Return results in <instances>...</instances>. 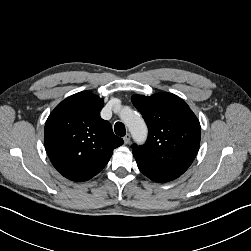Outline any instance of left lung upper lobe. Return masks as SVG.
Segmentation results:
<instances>
[{
    "label": "left lung upper lobe",
    "instance_id": "left-lung-upper-lobe-1",
    "mask_svg": "<svg viewBox=\"0 0 251 251\" xmlns=\"http://www.w3.org/2000/svg\"><path fill=\"white\" fill-rule=\"evenodd\" d=\"M132 102L149 130L145 145H132L138 168L182 175L199 149L201 129L195 114L172 93L133 95Z\"/></svg>",
    "mask_w": 251,
    "mask_h": 251
}]
</instances>
